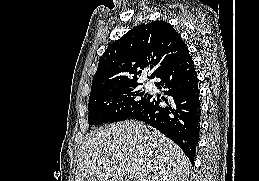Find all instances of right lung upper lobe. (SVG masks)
<instances>
[{"label": "right lung upper lobe", "instance_id": "obj_1", "mask_svg": "<svg viewBox=\"0 0 259 181\" xmlns=\"http://www.w3.org/2000/svg\"><path fill=\"white\" fill-rule=\"evenodd\" d=\"M188 53L179 33L167 22L139 25L105 50L93 77L90 97L118 88L138 85L137 75L150 65V78Z\"/></svg>", "mask_w": 259, "mask_h": 181}]
</instances>
